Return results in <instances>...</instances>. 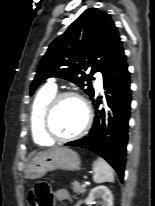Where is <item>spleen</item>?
<instances>
[{
  "label": "spleen",
  "instance_id": "spleen-1",
  "mask_svg": "<svg viewBox=\"0 0 155 206\" xmlns=\"http://www.w3.org/2000/svg\"><path fill=\"white\" fill-rule=\"evenodd\" d=\"M93 180L95 183L114 182V172L111 166L102 158L98 157L93 162Z\"/></svg>",
  "mask_w": 155,
  "mask_h": 206
}]
</instances>
